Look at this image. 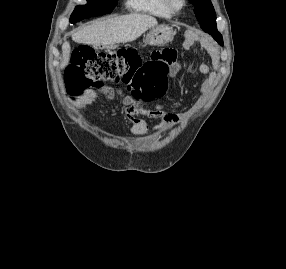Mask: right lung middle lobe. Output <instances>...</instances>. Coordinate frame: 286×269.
<instances>
[{
  "instance_id": "1",
  "label": "right lung middle lobe",
  "mask_w": 286,
  "mask_h": 269,
  "mask_svg": "<svg viewBox=\"0 0 286 269\" xmlns=\"http://www.w3.org/2000/svg\"><path fill=\"white\" fill-rule=\"evenodd\" d=\"M117 0H87L86 5H79L73 11L70 22L76 23L84 18L110 13Z\"/></svg>"
}]
</instances>
